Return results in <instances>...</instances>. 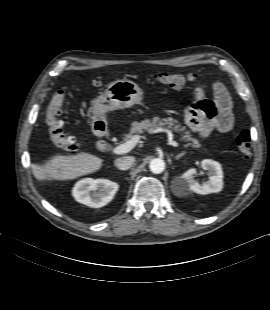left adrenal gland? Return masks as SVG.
<instances>
[{
  "label": "left adrenal gland",
  "instance_id": "obj_1",
  "mask_svg": "<svg viewBox=\"0 0 270 310\" xmlns=\"http://www.w3.org/2000/svg\"><path fill=\"white\" fill-rule=\"evenodd\" d=\"M186 154V152H182L180 154H178L177 156H175V159L178 160L180 159L182 156H184Z\"/></svg>",
  "mask_w": 270,
  "mask_h": 310
}]
</instances>
